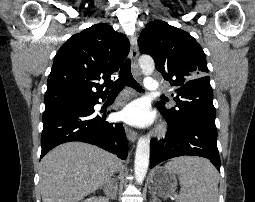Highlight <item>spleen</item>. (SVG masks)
I'll return each instance as SVG.
<instances>
[{
  "label": "spleen",
  "mask_w": 255,
  "mask_h": 202,
  "mask_svg": "<svg viewBox=\"0 0 255 202\" xmlns=\"http://www.w3.org/2000/svg\"><path fill=\"white\" fill-rule=\"evenodd\" d=\"M165 168L178 175L183 192L177 202H217L219 175L206 159L198 157L176 158Z\"/></svg>",
  "instance_id": "3e777b00"
}]
</instances>
